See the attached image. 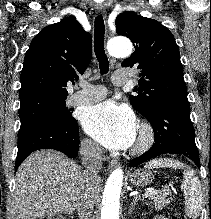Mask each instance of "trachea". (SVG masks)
<instances>
[{"mask_svg":"<svg viewBox=\"0 0 211 219\" xmlns=\"http://www.w3.org/2000/svg\"><path fill=\"white\" fill-rule=\"evenodd\" d=\"M94 27V52L99 62L100 74L104 75L109 71V62L104 49L105 25L101 15L95 18Z\"/></svg>","mask_w":211,"mask_h":219,"instance_id":"obj_1","label":"trachea"}]
</instances>
